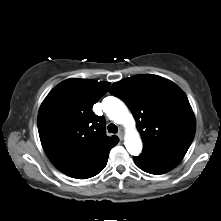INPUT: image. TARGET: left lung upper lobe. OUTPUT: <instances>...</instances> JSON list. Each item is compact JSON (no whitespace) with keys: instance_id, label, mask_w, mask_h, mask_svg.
I'll return each instance as SVG.
<instances>
[{"instance_id":"obj_1","label":"left lung upper lobe","mask_w":221,"mask_h":221,"mask_svg":"<svg viewBox=\"0 0 221 221\" xmlns=\"http://www.w3.org/2000/svg\"><path fill=\"white\" fill-rule=\"evenodd\" d=\"M109 92L131 110L144 153L187 152L196 122L187 96L176 84L143 74L114 83Z\"/></svg>"}]
</instances>
